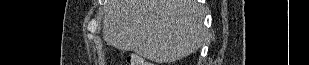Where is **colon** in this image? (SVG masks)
Returning a JSON list of instances; mask_svg holds the SVG:
<instances>
[{
    "instance_id": "colon-1",
    "label": "colon",
    "mask_w": 309,
    "mask_h": 65,
    "mask_svg": "<svg viewBox=\"0 0 309 65\" xmlns=\"http://www.w3.org/2000/svg\"><path fill=\"white\" fill-rule=\"evenodd\" d=\"M135 63L140 64L142 63V60L140 58H136V59L129 61V64H135Z\"/></svg>"
}]
</instances>
